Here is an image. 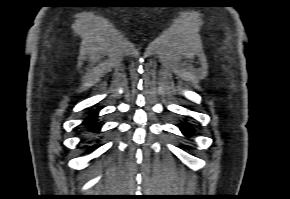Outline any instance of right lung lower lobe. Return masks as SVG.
Listing matches in <instances>:
<instances>
[{
	"label": "right lung lower lobe",
	"mask_w": 290,
	"mask_h": 199,
	"mask_svg": "<svg viewBox=\"0 0 290 199\" xmlns=\"http://www.w3.org/2000/svg\"><path fill=\"white\" fill-rule=\"evenodd\" d=\"M97 117V113L91 114L88 119L85 121L86 125H88L91 129V131H98L100 127L95 123V118Z\"/></svg>",
	"instance_id": "obj_1"
}]
</instances>
